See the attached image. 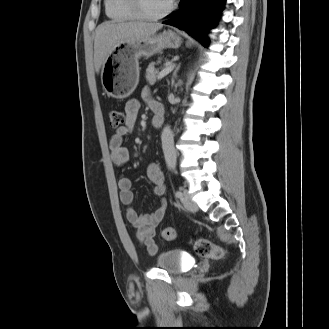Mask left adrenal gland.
Returning a JSON list of instances; mask_svg holds the SVG:
<instances>
[{
  "mask_svg": "<svg viewBox=\"0 0 329 329\" xmlns=\"http://www.w3.org/2000/svg\"><path fill=\"white\" fill-rule=\"evenodd\" d=\"M180 68V64L176 67L175 71H174V75H176L177 71L179 70Z\"/></svg>",
  "mask_w": 329,
  "mask_h": 329,
  "instance_id": "obj_1",
  "label": "left adrenal gland"
}]
</instances>
